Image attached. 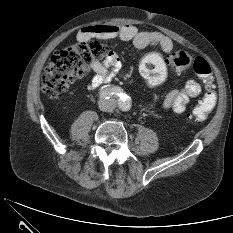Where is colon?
<instances>
[{
	"label": "colon",
	"mask_w": 233,
	"mask_h": 233,
	"mask_svg": "<svg viewBox=\"0 0 233 233\" xmlns=\"http://www.w3.org/2000/svg\"><path fill=\"white\" fill-rule=\"evenodd\" d=\"M105 54V45L94 39L80 40L58 50L43 71L44 91L54 96L67 92L76 79L89 74L91 63ZM190 65L206 89L199 104L188 115L190 121L200 123L207 119L216 103L212 69L204 58L192 59L187 52L178 51L165 59L159 52L150 51L141 59L140 72L146 83L153 87L164 81L168 66L182 71Z\"/></svg>",
	"instance_id": "5ec220e1"
}]
</instances>
